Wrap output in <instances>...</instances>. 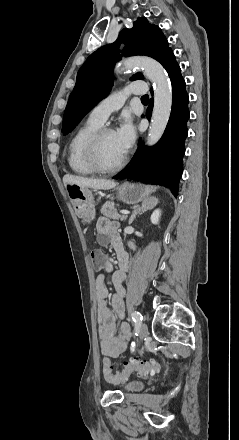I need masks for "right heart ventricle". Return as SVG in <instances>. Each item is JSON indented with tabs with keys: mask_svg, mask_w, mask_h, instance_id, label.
<instances>
[{
	"mask_svg": "<svg viewBox=\"0 0 239 440\" xmlns=\"http://www.w3.org/2000/svg\"><path fill=\"white\" fill-rule=\"evenodd\" d=\"M100 125L88 118L71 136L67 150V161L73 172L80 175H93L96 173L86 161L85 145Z\"/></svg>",
	"mask_w": 239,
	"mask_h": 440,
	"instance_id": "1",
	"label": "right heart ventricle"
}]
</instances>
